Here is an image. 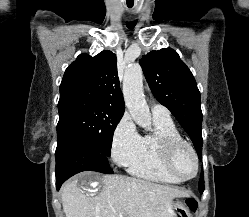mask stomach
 Returning a JSON list of instances; mask_svg holds the SVG:
<instances>
[{"label":"stomach","instance_id":"stomach-1","mask_svg":"<svg viewBox=\"0 0 249 217\" xmlns=\"http://www.w3.org/2000/svg\"><path fill=\"white\" fill-rule=\"evenodd\" d=\"M172 206H173L175 209H177V207H178L179 205H178V204H175V203H172ZM173 217H177V216L174 214Z\"/></svg>","mask_w":249,"mask_h":217}]
</instances>
